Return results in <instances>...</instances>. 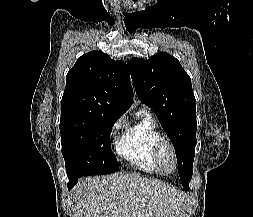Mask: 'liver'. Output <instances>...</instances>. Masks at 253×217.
<instances>
[{"instance_id": "liver-1", "label": "liver", "mask_w": 253, "mask_h": 217, "mask_svg": "<svg viewBox=\"0 0 253 217\" xmlns=\"http://www.w3.org/2000/svg\"><path fill=\"white\" fill-rule=\"evenodd\" d=\"M73 190L77 217H179L183 205L180 190L138 174L88 177Z\"/></svg>"}]
</instances>
